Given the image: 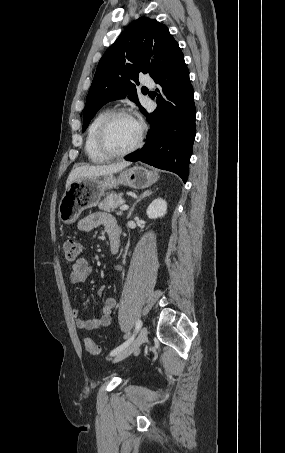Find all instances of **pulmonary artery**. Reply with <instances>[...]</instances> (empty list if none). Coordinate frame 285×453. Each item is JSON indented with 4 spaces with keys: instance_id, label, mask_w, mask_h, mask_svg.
<instances>
[{
    "instance_id": "pulmonary-artery-1",
    "label": "pulmonary artery",
    "mask_w": 285,
    "mask_h": 453,
    "mask_svg": "<svg viewBox=\"0 0 285 453\" xmlns=\"http://www.w3.org/2000/svg\"><path fill=\"white\" fill-rule=\"evenodd\" d=\"M142 82H143L144 85H147V86H150V87H152L154 85L153 81L150 78H147V77L143 78Z\"/></svg>"
}]
</instances>
